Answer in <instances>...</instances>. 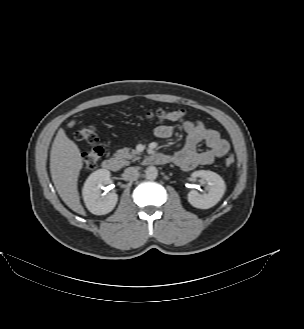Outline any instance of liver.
<instances>
[{
  "label": "liver",
  "instance_id": "obj_1",
  "mask_svg": "<svg viewBox=\"0 0 304 329\" xmlns=\"http://www.w3.org/2000/svg\"><path fill=\"white\" fill-rule=\"evenodd\" d=\"M76 121L72 120L67 127L72 128ZM83 159L80 149L70 140L64 130L58 131L50 153V173L54 186L64 203L74 212L85 216L80 203L77 181Z\"/></svg>",
  "mask_w": 304,
  "mask_h": 329
}]
</instances>
